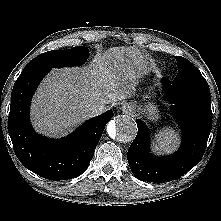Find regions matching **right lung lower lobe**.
<instances>
[{
    "label": "right lung lower lobe",
    "mask_w": 221,
    "mask_h": 221,
    "mask_svg": "<svg viewBox=\"0 0 221 221\" xmlns=\"http://www.w3.org/2000/svg\"><path fill=\"white\" fill-rule=\"evenodd\" d=\"M50 69L31 67L22 71L11 94L8 132L16 156L27 169L46 179L67 180L87 169L113 112L91 118L60 140L38 135L29 122V106L37 85Z\"/></svg>",
    "instance_id": "1"
}]
</instances>
